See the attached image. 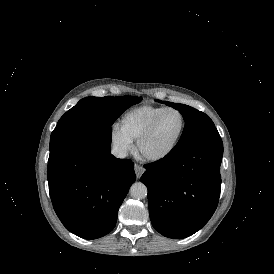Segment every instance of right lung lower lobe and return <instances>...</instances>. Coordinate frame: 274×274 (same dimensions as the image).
<instances>
[{
	"label": "right lung lower lobe",
	"mask_w": 274,
	"mask_h": 274,
	"mask_svg": "<svg viewBox=\"0 0 274 274\" xmlns=\"http://www.w3.org/2000/svg\"><path fill=\"white\" fill-rule=\"evenodd\" d=\"M111 127L93 129L50 151V197L64 226L84 239L108 234L135 181L134 164L110 153Z\"/></svg>",
	"instance_id": "98d812e1"
}]
</instances>
